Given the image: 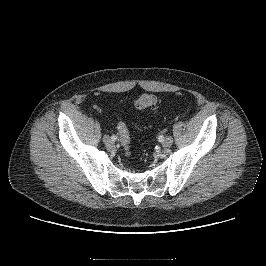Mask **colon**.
I'll return each mask as SVG.
<instances>
[{
	"mask_svg": "<svg viewBox=\"0 0 266 266\" xmlns=\"http://www.w3.org/2000/svg\"><path fill=\"white\" fill-rule=\"evenodd\" d=\"M156 103V97L152 94H142L136 101L135 106L138 109H147L153 107ZM118 132L120 143L126 154L130 153V134L127 125L124 122L118 123Z\"/></svg>",
	"mask_w": 266,
	"mask_h": 266,
	"instance_id": "colon-1",
	"label": "colon"
}]
</instances>
